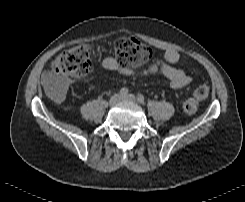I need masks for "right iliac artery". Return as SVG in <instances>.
Listing matches in <instances>:
<instances>
[{
	"mask_svg": "<svg viewBox=\"0 0 245 202\" xmlns=\"http://www.w3.org/2000/svg\"><path fill=\"white\" fill-rule=\"evenodd\" d=\"M128 92H129V90H128V88H126V87H123V88L120 89V94H121L122 96L127 95Z\"/></svg>",
	"mask_w": 245,
	"mask_h": 202,
	"instance_id": "1",
	"label": "right iliac artery"
}]
</instances>
